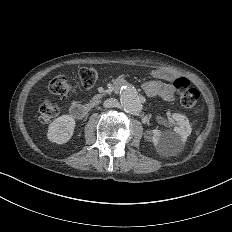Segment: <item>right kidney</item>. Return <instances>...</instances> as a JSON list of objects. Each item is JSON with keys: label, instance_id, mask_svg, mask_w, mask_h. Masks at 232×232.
Returning a JSON list of instances; mask_svg holds the SVG:
<instances>
[{"label": "right kidney", "instance_id": "obj_1", "mask_svg": "<svg viewBox=\"0 0 232 232\" xmlns=\"http://www.w3.org/2000/svg\"><path fill=\"white\" fill-rule=\"evenodd\" d=\"M74 128L75 120L70 115H62L49 125L47 137L51 142L63 144L72 137Z\"/></svg>", "mask_w": 232, "mask_h": 232}]
</instances>
